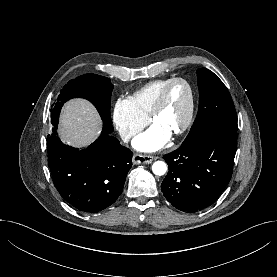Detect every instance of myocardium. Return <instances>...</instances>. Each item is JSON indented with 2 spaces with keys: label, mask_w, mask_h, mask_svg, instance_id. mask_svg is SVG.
<instances>
[{
  "label": "myocardium",
  "mask_w": 277,
  "mask_h": 277,
  "mask_svg": "<svg viewBox=\"0 0 277 277\" xmlns=\"http://www.w3.org/2000/svg\"><path fill=\"white\" fill-rule=\"evenodd\" d=\"M176 83H182L186 86L188 91V101H187L186 113H185V118L183 120V123L175 132L171 134V136H174V137L184 133L189 128L192 122L193 112H194V92L191 84L186 79H183L180 77L170 79L160 91L159 96L150 113V119L153 123H155L157 116L162 111L166 103L167 95L170 88Z\"/></svg>",
  "instance_id": "f54148a6"
}]
</instances>
